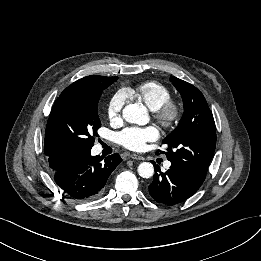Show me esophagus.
<instances>
[{
    "instance_id": "34e87169",
    "label": "esophagus",
    "mask_w": 261,
    "mask_h": 261,
    "mask_svg": "<svg viewBox=\"0 0 261 261\" xmlns=\"http://www.w3.org/2000/svg\"><path fill=\"white\" fill-rule=\"evenodd\" d=\"M130 158L136 159V160H144L145 159L143 156L138 155V154H131Z\"/></svg>"
}]
</instances>
